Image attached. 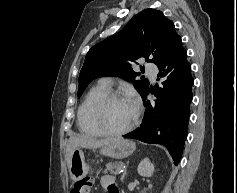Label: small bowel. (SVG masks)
Listing matches in <instances>:
<instances>
[{"label": "small bowel", "instance_id": "obj_1", "mask_svg": "<svg viewBox=\"0 0 237 193\" xmlns=\"http://www.w3.org/2000/svg\"><path fill=\"white\" fill-rule=\"evenodd\" d=\"M101 184H102L103 188L107 191V193H119L116 183H115L112 176L104 175L101 178Z\"/></svg>", "mask_w": 237, "mask_h": 193}]
</instances>
